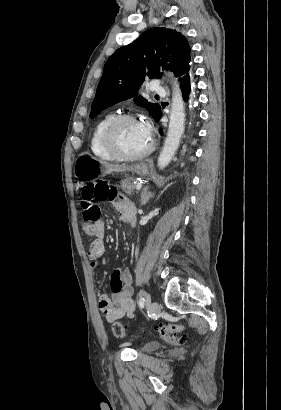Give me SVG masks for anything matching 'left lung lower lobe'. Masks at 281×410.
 I'll list each match as a JSON object with an SVG mask.
<instances>
[{
  "mask_svg": "<svg viewBox=\"0 0 281 410\" xmlns=\"http://www.w3.org/2000/svg\"><path fill=\"white\" fill-rule=\"evenodd\" d=\"M180 88L182 90L184 101H188L190 99V93L193 88V72L192 71H190L189 73H187L185 76H183L180 79ZM161 116H162V112L160 110V112L158 113V115L156 116L154 120L158 122ZM160 133H162L161 129H160Z\"/></svg>",
  "mask_w": 281,
  "mask_h": 410,
  "instance_id": "obj_1",
  "label": "left lung lower lobe"
}]
</instances>
